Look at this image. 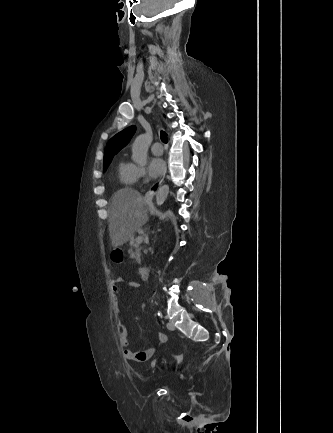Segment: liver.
<instances>
[{"label":"liver","mask_w":333,"mask_h":433,"mask_svg":"<svg viewBox=\"0 0 333 433\" xmlns=\"http://www.w3.org/2000/svg\"><path fill=\"white\" fill-rule=\"evenodd\" d=\"M144 199L135 189L118 190L108 208L109 235L113 247L122 246L148 221Z\"/></svg>","instance_id":"6515ba94"}]
</instances>
